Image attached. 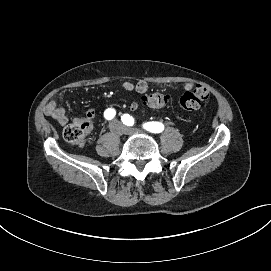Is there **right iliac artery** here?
Instances as JSON below:
<instances>
[{
    "label": "right iliac artery",
    "mask_w": 271,
    "mask_h": 271,
    "mask_svg": "<svg viewBox=\"0 0 271 271\" xmlns=\"http://www.w3.org/2000/svg\"><path fill=\"white\" fill-rule=\"evenodd\" d=\"M116 112L114 109L108 108L105 112H104V117L107 120H111L112 118H114Z\"/></svg>",
    "instance_id": "82829eb1"
}]
</instances>
